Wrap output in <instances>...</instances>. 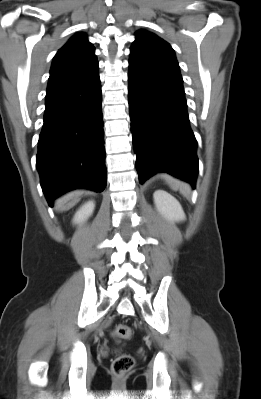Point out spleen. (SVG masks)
I'll use <instances>...</instances> for the list:
<instances>
[{"label": "spleen", "instance_id": "obj_1", "mask_svg": "<svg viewBox=\"0 0 261 399\" xmlns=\"http://www.w3.org/2000/svg\"><path fill=\"white\" fill-rule=\"evenodd\" d=\"M166 180L168 181V183L170 184V186L172 187V189L174 190H180V192L184 195L187 196L190 193V188L187 184L182 183L170 176H166L165 177Z\"/></svg>", "mask_w": 261, "mask_h": 399}]
</instances>
